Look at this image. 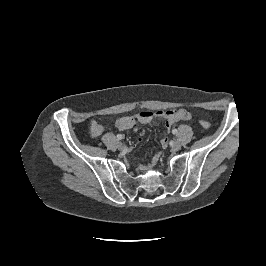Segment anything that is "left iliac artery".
I'll return each instance as SVG.
<instances>
[{"instance_id": "obj_1", "label": "left iliac artery", "mask_w": 266, "mask_h": 266, "mask_svg": "<svg viewBox=\"0 0 266 266\" xmlns=\"http://www.w3.org/2000/svg\"><path fill=\"white\" fill-rule=\"evenodd\" d=\"M177 132H178L177 129H173V130H172V133H173V134H177Z\"/></svg>"}]
</instances>
